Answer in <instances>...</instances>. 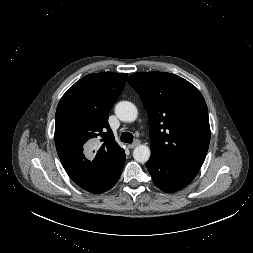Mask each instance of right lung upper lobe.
I'll use <instances>...</instances> for the list:
<instances>
[{
    "label": "right lung upper lobe",
    "mask_w": 253,
    "mask_h": 253,
    "mask_svg": "<svg viewBox=\"0 0 253 253\" xmlns=\"http://www.w3.org/2000/svg\"><path fill=\"white\" fill-rule=\"evenodd\" d=\"M126 79L124 73L87 75L66 91L57 106L54 138L58 156L69 177L89 192L105 183L125 157L108 115ZM84 145L97 149L86 157Z\"/></svg>",
    "instance_id": "obj_1"
}]
</instances>
